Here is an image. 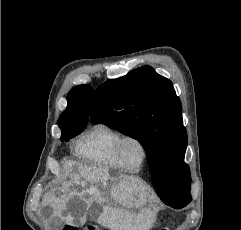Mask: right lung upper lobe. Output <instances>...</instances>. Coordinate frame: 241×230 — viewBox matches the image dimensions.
<instances>
[{
    "mask_svg": "<svg viewBox=\"0 0 241 230\" xmlns=\"http://www.w3.org/2000/svg\"><path fill=\"white\" fill-rule=\"evenodd\" d=\"M92 95L93 88L89 84L73 88L67 95V108L58 120L59 127L85 128L89 119Z\"/></svg>",
    "mask_w": 241,
    "mask_h": 230,
    "instance_id": "right-lung-upper-lobe-1",
    "label": "right lung upper lobe"
}]
</instances>
